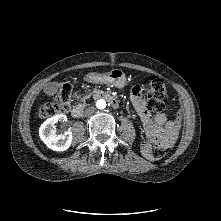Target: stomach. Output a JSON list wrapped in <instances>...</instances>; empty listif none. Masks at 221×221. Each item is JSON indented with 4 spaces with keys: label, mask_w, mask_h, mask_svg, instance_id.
<instances>
[{
    "label": "stomach",
    "mask_w": 221,
    "mask_h": 221,
    "mask_svg": "<svg viewBox=\"0 0 221 221\" xmlns=\"http://www.w3.org/2000/svg\"><path fill=\"white\" fill-rule=\"evenodd\" d=\"M85 80L95 84H110L117 88H123L127 84L126 76L120 69H112L106 73L91 72L85 76Z\"/></svg>",
    "instance_id": "1"
}]
</instances>
